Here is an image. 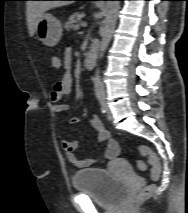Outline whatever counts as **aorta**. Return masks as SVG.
<instances>
[{
  "mask_svg": "<svg viewBox=\"0 0 188 213\" xmlns=\"http://www.w3.org/2000/svg\"><path fill=\"white\" fill-rule=\"evenodd\" d=\"M120 8V2L119 1H107L106 3V8H105V19H104V31L102 35V40L100 44V49H99V57L102 58L105 50L107 49L112 33L114 31L116 21H117V16ZM93 83H94V89H95V94L97 97H105V90L103 83L101 81L100 77V70L99 68L96 69L94 77H93Z\"/></svg>",
  "mask_w": 188,
  "mask_h": 213,
  "instance_id": "762f6f07",
  "label": "aorta"
}]
</instances>
